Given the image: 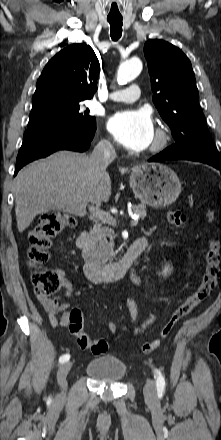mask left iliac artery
I'll list each match as a JSON object with an SVG mask.
<instances>
[{"label":"left iliac artery","instance_id":"left-iliac-artery-1","mask_svg":"<svg viewBox=\"0 0 221 440\" xmlns=\"http://www.w3.org/2000/svg\"><path fill=\"white\" fill-rule=\"evenodd\" d=\"M154 371L157 374V379H156L157 392L158 393H163L164 389H165V378L162 375L160 370L155 369Z\"/></svg>","mask_w":221,"mask_h":440}]
</instances>
